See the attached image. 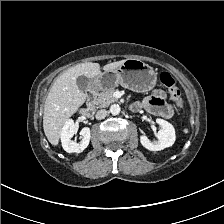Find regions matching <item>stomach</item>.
Masks as SVG:
<instances>
[{
    "instance_id": "1",
    "label": "stomach",
    "mask_w": 224,
    "mask_h": 224,
    "mask_svg": "<svg viewBox=\"0 0 224 224\" xmlns=\"http://www.w3.org/2000/svg\"><path fill=\"white\" fill-rule=\"evenodd\" d=\"M157 82L153 67L141 60L129 58L116 69L103 71L92 80L97 90H106L117 85L136 92H148Z\"/></svg>"
}]
</instances>
